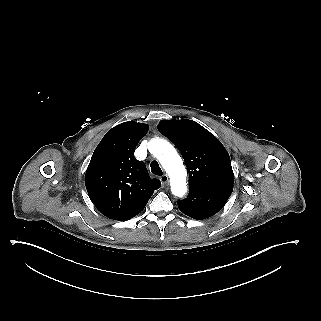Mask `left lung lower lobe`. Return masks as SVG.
Wrapping results in <instances>:
<instances>
[{
  "instance_id": "obj_1",
  "label": "left lung lower lobe",
  "mask_w": 321,
  "mask_h": 321,
  "mask_svg": "<svg viewBox=\"0 0 321 321\" xmlns=\"http://www.w3.org/2000/svg\"><path fill=\"white\" fill-rule=\"evenodd\" d=\"M233 191V186L216 185L190 188L187 199L178 201V208L187 216L202 220L219 212Z\"/></svg>"
}]
</instances>
